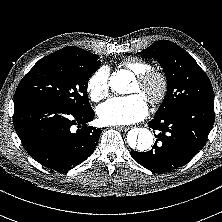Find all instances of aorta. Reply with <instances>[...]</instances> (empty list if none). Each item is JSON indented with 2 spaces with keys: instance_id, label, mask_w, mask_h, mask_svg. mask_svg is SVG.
<instances>
[{
  "instance_id": "762f6f07",
  "label": "aorta",
  "mask_w": 222,
  "mask_h": 222,
  "mask_svg": "<svg viewBox=\"0 0 222 222\" xmlns=\"http://www.w3.org/2000/svg\"><path fill=\"white\" fill-rule=\"evenodd\" d=\"M133 80V74L127 70H120L111 77L110 84L119 94L129 93V83ZM154 136L147 128L133 129L127 135L128 145L132 150L145 152L151 148Z\"/></svg>"
}]
</instances>
